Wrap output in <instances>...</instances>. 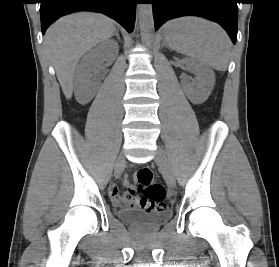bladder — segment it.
Wrapping results in <instances>:
<instances>
[{
  "instance_id": "obj_1",
  "label": "bladder",
  "mask_w": 279,
  "mask_h": 267,
  "mask_svg": "<svg viewBox=\"0 0 279 267\" xmlns=\"http://www.w3.org/2000/svg\"><path fill=\"white\" fill-rule=\"evenodd\" d=\"M120 217L129 224L142 228H155L169 218V213L149 216L134 209H123Z\"/></svg>"
}]
</instances>
